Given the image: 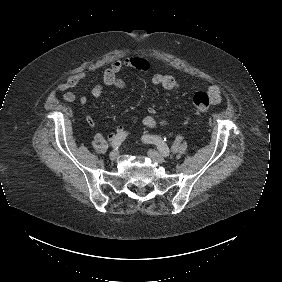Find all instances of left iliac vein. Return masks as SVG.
<instances>
[{"instance_id": "1", "label": "left iliac vein", "mask_w": 282, "mask_h": 282, "mask_svg": "<svg viewBox=\"0 0 282 282\" xmlns=\"http://www.w3.org/2000/svg\"><path fill=\"white\" fill-rule=\"evenodd\" d=\"M147 154L153 161H155L157 163H163L164 162L163 156L155 150L150 149V150H148Z\"/></svg>"}]
</instances>
